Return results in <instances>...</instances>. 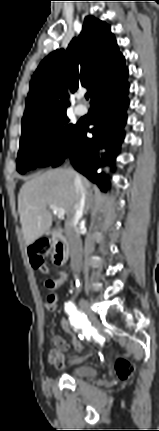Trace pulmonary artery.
<instances>
[{
    "label": "pulmonary artery",
    "mask_w": 159,
    "mask_h": 431,
    "mask_svg": "<svg viewBox=\"0 0 159 431\" xmlns=\"http://www.w3.org/2000/svg\"><path fill=\"white\" fill-rule=\"evenodd\" d=\"M75 112L78 114V115H85L86 113H87V108L84 106V105H77L76 107H75Z\"/></svg>",
    "instance_id": "e3ab8cb5"
}]
</instances>
